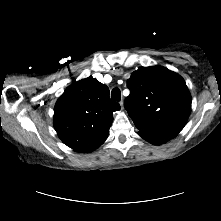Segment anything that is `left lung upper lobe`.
Returning a JSON list of instances; mask_svg holds the SVG:
<instances>
[{
	"label": "left lung upper lobe",
	"mask_w": 221,
	"mask_h": 221,
	"mask_svg": "<svg viewBox=\"0 0 221 221\" xmlns=\"http://www.w3.org/2000/svg\"><path fill=\"white\" fill-rule=\"evenodd\" d=\"M125 108L139 132L170 140L185 126L191 95L177 73L161 66L142 67L127 80Z\"/></svg>",
	"instance_id": "obj_1"
}]
</instances>
